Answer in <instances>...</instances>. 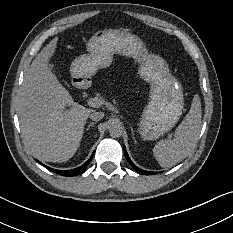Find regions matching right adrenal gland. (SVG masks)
Here are the masks:
<instances>
[{
	"label": "right adrenal gland",
	"mask_w": 233,
	"mask_h": 233,
	"mask_svg": "<svg viewBox=\"0 0 233 233\" xmlns=\"http://www.w3.org/2000/svg\"><path fill=\"white\" fill-rule=\"evenodd\" d=\"M96 123H97V121H94V122L89 123V125L86 127V129H88L91 125H94V124H96Z\"/></svg>",
	"instance_id": "1"
}]
</instances>
